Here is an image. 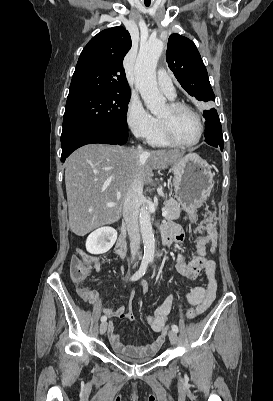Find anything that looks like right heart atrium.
Segmentation results:
<instances>
[{"label": "right heart atrium", "mask_w": 273, "mask_h": 401, "mask_svg": "<svg viewBox=\"0 0 273 401\" xmlns=\"http://www.w3.org/2000/svg\"><path fill=\"white\" fill-rule=\"evenodd\" d=\"M126 121L133 135L139 139H148L156 125V118L138 98L129 101Z\"/></svg>", "instance_id": "1"}]
</instances>
